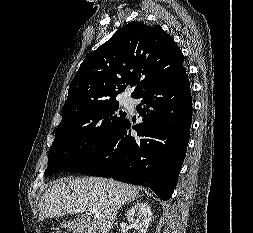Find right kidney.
Wrapping results in <instances>:
<instances>
[{
  "label": "right kidney",
  "instance_id": "obj_1",
  "mask_svg": "<svg viewBox=\"0 0 253 233\" xmlns=\"http://www.w3.org/2000/svg\"><path fill=\"white\" fill-rule=\"evenodd\" d=\"M151 216L149 204L138 202L127 213V220L134 225L137 233H146Z\"/></svg>",
  "mask_w": 253,
  "mask_h": 233
}]
</instances>
